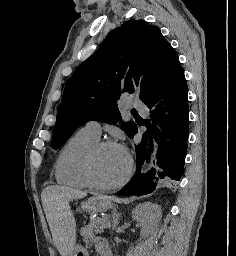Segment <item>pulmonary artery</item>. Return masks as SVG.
<instances>
[{"label":"pulmonary artery","mask_w":236,"mask_h":256,"mask_svg":"<svg viewBox=\"0 0 236 256\" xmlns=\"http://www.w3.org/2000/svg\"><path fill=\"white\" fill-rule=\"evenodd\" d=\"M133 106H137V109L140 113L145 114L147 112V107L139 101H133ZM86 133H88L90 136L96 138L97 140H100L101 138V126L96 121H90L86 123V125L82 128Z\"/></svg>","instance_id":"1"}]
</instances>
